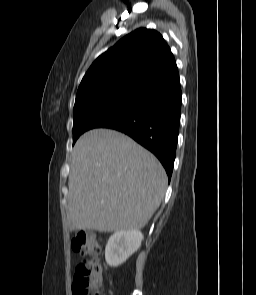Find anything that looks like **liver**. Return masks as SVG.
<instances>
[{"label": "liver", "instance_id": "1", "mask_svg": "<svg viewBox=\"0 0 256 295\" xmlns=\"http://www.w3.org/2000/svg\"><path fill=\"white\" fill-rule=\"evenodd\" d=\"M166 186V172L149 151L120 132L90 130L77 140L72 153L69 229H140L159 207Z\"/></svg>", "mask_w": 256, "mask_h": 295}]
</instances>
